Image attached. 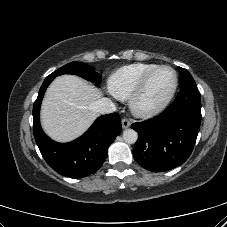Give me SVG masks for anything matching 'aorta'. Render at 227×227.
<instances>
[{
    "label": "aorta",
    "instance_id": "obj_1",
    "mask_svg": "<svg viewBox=\"0 0 227 227\" xmlns=\"http://www.w3.org/2000/svg\"><path fill=\"white\" fill-rule=\"evenodd\" d=\"M138 134L133 129H126L123 131V140L128 144H134L137 141Z\"/></svg>",
    "mask_w": 227,
    "mask_h": 227
}]
</instances>
